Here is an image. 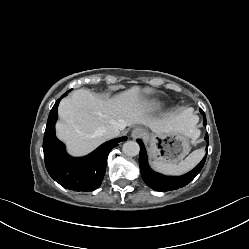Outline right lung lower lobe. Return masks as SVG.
Wrapping results in <instances>:
<instances>
[{"label":"right lung lower lobe","instance_id":"98d812e1","mask_svg":"<svg viewBox=\"0 0 249 249\" xmlns=\"http://www.w3.org/2000/svg\"><path fill=\"white\" fill-rule=\"evenodd\" d=\"M65 94L61 96L63 98ZM60 99L54 104L47 121L43 140L44 160L48 173L64 188L74 191H93L104 178L109 152L126 137L108 141L89 155L81 158L69 156L64 144L55 135L57 109Z\"/></svg>","mask_w":249,"mask_h":249}]
</instances>
